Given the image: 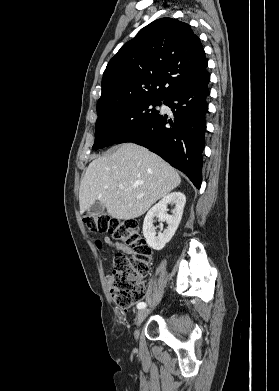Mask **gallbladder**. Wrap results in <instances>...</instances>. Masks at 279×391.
<instances>
[{
  "label": "gallbladder",
  "instance_id": "obj_1",
  "mask_svg": "<svg viewBox=\"0 0 279 391\" xmlns=\"http://www.w3.org/2000/svg\"><path fill=\"white\" fill-rule=\"evenodd\" d=\"M103 211L104 205L101 202L97 201L88 209V214L90 216H98L102 214Z\"/></svg>",
  "mask_w": 279,
  "mask_h": 391
}]
</instances>
